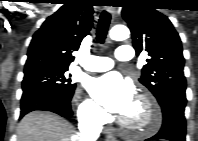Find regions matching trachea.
<instances>
[{"label":"trachea","mask_w":198,"mask_h":141,"mask_svg":"<svg viewBox=\"0 0 198 141\" xmlns=\"http://www.w3.org/2000/svg\"><path fill=\"white\" fill-rule=\"evenodd\" d=\"M110 19H111L110 14L107 11H103L98 22L97 33H96L97 42L100 44H104L105 42L108 27L110 24Z\"/></svg>","instance_id":"obj_1"}]
</instances>
